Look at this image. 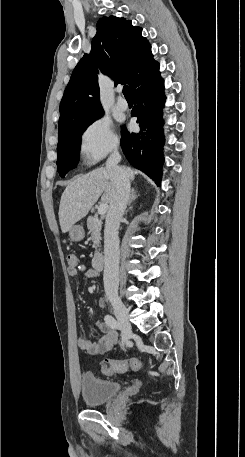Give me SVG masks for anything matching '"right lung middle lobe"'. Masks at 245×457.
<instances>
[{
	"label": "right lung middle lobe",
	"instance_id": "obj_1",
	"mask_svg": "<svg viewBox=\"0 0 245 457\" xmlns=\"http://www.w3.org/2000/svg\"><path fill=\"white\" fill-rule=\"evenodd\" d=\"M103 115V110L58 128L57 169L61 177L76 167L79 160L81 135L85 129Z\"/></svg>",
	"mask_w": 245,
	"mask_h": 457
}]
</instances>
